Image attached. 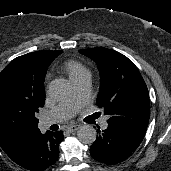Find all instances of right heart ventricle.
<instances>
[{
  "label": "right heart ventricle",
  "instance_id": "obj_1",
  "mask_svg": "<svg viewBox=\"0 0 171 171\" xmlns=\"http://www.w3.org/2000/svg\"><path fill=\"white\" fill-rule=\"evenodd\" d=\"M63 68L72 81L90 74L89 70L82 63L76 60H68L65 62Z\"/></svg>",
  "mask_w": 171,
  "mask_h": 171
}]
</instances>
